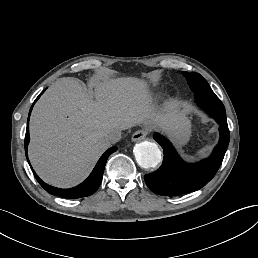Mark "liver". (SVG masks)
Instances as JSON below:
<instances>
[{
	"instance_id": "6515ba94",
	"label": "liver",
	"mask_w": 258,
	"mask_h": 258,
	"mask_svg": "<svg viewBox=\"0 0 258 258\" xmlns=\"http://www.w3.org/2000/svg\"><path fill=\"white\" fill-rule=\"evenodd\" d=\"M184 116L176 99L167 98L159 106L144 78H106L93 84L92 93L78 79L63 78L34 105L28 158L43 182L73 188L88 178L111 147L108 132L143 125L173 139Z\"/></svg>"
}]
</instances>
